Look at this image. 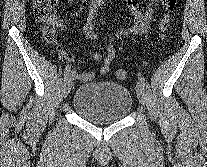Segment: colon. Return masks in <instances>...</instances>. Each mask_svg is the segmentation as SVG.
Returning <instances> with one entry per match:
<instances>
[{
    "label": "colon",
    "instance_id": "obj_1",
    "mask_svg": "<svg viewBox=\"0 0 207 167\" xmlns=\"http://www.w3.org/2000/svg\"><path fill=\"white\" fill-rule=\"evenodd\" d=\"M55 1L34 0L35 15L43 25L42 32L45 40L49 42L54 41L56 38ZM161 3L164 10V17L160 23V32L163 35L169 29L171 15L176 8L177 0H161ZM116 75L118 79L125 80L128 77V72L125 69H119Z\"/></svg>",
    "mask_w": 207,
    "mask_h": 167
}]
</instances>
